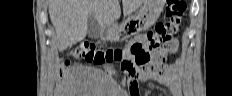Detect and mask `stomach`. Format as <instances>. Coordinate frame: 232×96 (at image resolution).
<instances>
[{
	"label": "stomach",
	"instance_id": "1",
	"mask_svg": "<svg viewBox=\"0 0 232 96\" xmlns=\"http://www.w3.org/2000/svg\"><path fill=\"white\" fill-rule=\"evenodd\" d=\"M164 5L165 0H146L137 15L127 19L119 26L107 28L102 38L110 42H122L142 30L149 29L159 18Z\"/></svg>",
	"mask_w": 232,
	"mask_h": 96
}]
</instances>
